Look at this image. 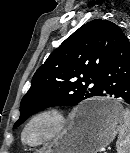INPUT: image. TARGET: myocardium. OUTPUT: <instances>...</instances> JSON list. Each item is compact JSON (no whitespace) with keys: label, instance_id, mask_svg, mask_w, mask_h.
Wrapping results in <instances>:
<instances>
[{"label":"myocardium","instance_id":"myocardium-1","mask_svg":"<svg viewBox=\"0 0 130 153\" xmlns=\"http://www.w3.org/2000/svg\"><path fill=\"white\" fill-rule=\"evenodd\" d=\"M46 121L49 123V130L40 138L30 140L27 137L30 128L37 122ZM69 122L67 114L59 108L51 107L42 109L33 114L24 124L21 130V142L28 147H39L56 139L66 128Z\"/></svg>","mask_w":130,"mask_h":153}]
</instances>
